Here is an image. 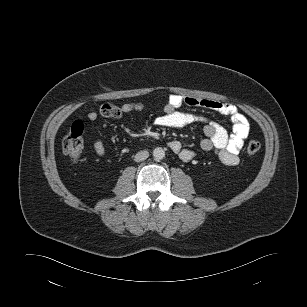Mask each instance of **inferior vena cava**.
I'll list each match as a JSON object with an SVG mask.
<instances>
[{
	"mask_svg": "<svg viewBox=\"0 0 307 307\" xmlns=\"http://www.w3.org/2000/svg\"><path fill=\"white\" fill-rule=\"evenodd\" d=\"M148 157H149L148 151H140L135 155L134 160L136 162H141L143 160H146Z\"/></svg>",
	"mask_w": 307,
	"mask_h": 307,
	"instance_id": "1",
	"label": "inferior vena cava"
}]
</instances>
